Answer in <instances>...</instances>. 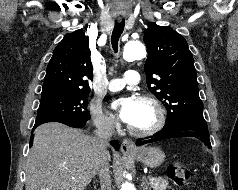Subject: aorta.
Instances as JSON below:
<instances>
[{
	"instance_id": "762f6f07",
	"label": "aorta",
	"mask_w": 238,
	"mask_h": 190,
	"mask_svg": "<svg viewBox=\"0 0 238 190\" xmlns=\"http://www.w3.org/2000/svg\"><path fill=\"white\" fill-rule=\"evenodd\" d=\"M146 56L145 46L138 40H131L124 46L123 58L128 61H134L142 59ZM120 190H136L132 183L125 182L122 184Z\"/></svg>"
}]
</instances>
